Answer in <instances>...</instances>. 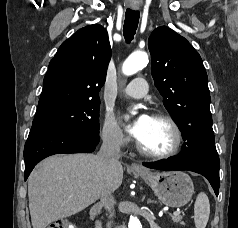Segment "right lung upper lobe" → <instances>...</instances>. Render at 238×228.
<instances>
[{
    "instance_id": "obj_1",
    "label": "right lung upper lobe",
    "mask_w": 238,
    "mask_h": 228,
    "mask_svg": "<svg viewBox=\"0 0 238 228\" xmlns=\"http://www.w3.org/2000/svg\"><path fill=\"white\" fill-rule=\"evenodd\" d=\"M110 58L108 33L101 25L83 27L64 41L49 64L35 117L100 101Z\"/></svg>"
}]
</instances>
